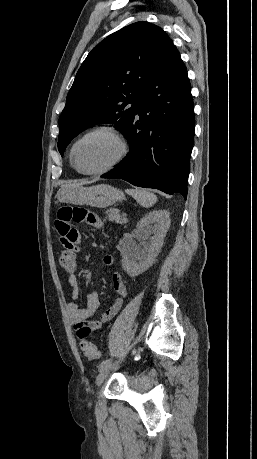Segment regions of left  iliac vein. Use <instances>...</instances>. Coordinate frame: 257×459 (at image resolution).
I'll return each instance as SVG.
<instances>
[{"label": "left iliac vein", "mask_w": 257, "mask_h": 459, "mask_svg": "<svg viewBox=\"0 0 257 459\" xmlns=\"http://www.w3.org/2000/svg\"><path fill=\"white\" fill-rule=\"evenodd\" d=\"M114 369V366L113 365H109L107 367H105L104 369H102L97 377V380H96V385L97 386H100L104 380L108 377L110 371Z\"/></svg>", "instance_id": "obj_1"}]
</instances>
